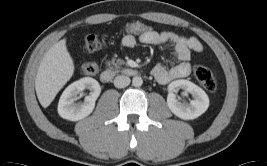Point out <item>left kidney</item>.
Masks as SVG:
<instances>
[{"label": "left kidney", "instance_id": "5707ae66", "mask_svg": "<svg viewBox=\"0 0 267 166\" xmlns=\"http://www.w3.org/2000/svg\"><path fill=\"white\" fill-rule=\"evenodd\" d=\"M183 89L193 96L189 104L180 102L175 92ZM167 105L171 112L184 120H192L202 115L209 107V98L205 91L194 83L180 79L171 82L168 86Z\"/></svg>", "mask_w": 267, "mask_h": 166}]
</instances>
